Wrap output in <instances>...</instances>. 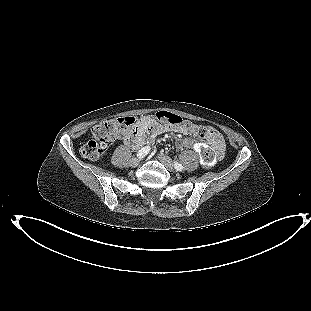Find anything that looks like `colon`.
Masks as SVG:
<instances>
[{
    "label": "colon",
    "instance_id": "5ec220e1",
    "mask_svg": "<svg viewBox=\"0 0 311 311\" xmlns=\"http://www.w3.org/2000/svg\"><path fill=\"white\" fill-rule=\"evenodd\" d=\"M156 118L162 124L181 127L185 132L191 133L195 137V141L200 144L210 135L205 128L196 126L192 122L167 111L157 112ZM137 125L136 118L132 116L103 120L92 128L89 140L80 145L79 151L83 157L97 160L105 154V149L111 142L126 137ZM199 154L202 161L210 165L223 157L224 146L218 148L201 146Z\"/></svg>",
    "mask_w": 311,
    "mask_h": 311
}]
</instances>
